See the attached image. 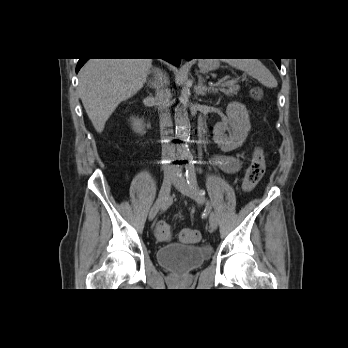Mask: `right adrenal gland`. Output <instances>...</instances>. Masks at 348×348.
Returning a JSON list of instances; mask_svg holds the SVG:
<instances>
[{
	"label": "right adrenal gland",
	"instance_id": "1",
	"mask_svg": "<svg viewBox=\"0 0 348 348\" xmlns=\"http://www.w3.org/2000/svg\"><path fill=\"white\" fill-rule=\"evenodd\" d=\"M149 73H153V76H154V77H149V78L147 79V80H148L147 85H148L150 88L154 89V88H155V84H156V77H157V75H158V69L155 68V67H152V68H151V71H150Z\"/></svg>",
	"mask_w": 348,
	"mask_h": 348
}]
</instances>
